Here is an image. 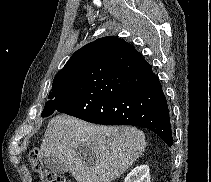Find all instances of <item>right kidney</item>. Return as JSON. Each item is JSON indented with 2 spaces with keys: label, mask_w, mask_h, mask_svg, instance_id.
<instances>
[{
  "label": "right kidney",
  "mask_w": 211,
  "mask_h": 182,
  "mask_svg": "<svg viewBox=\"0 0 211 182\" xmlns=\"http://www.w3.org/2000/svg\"><path fill=\"white\" fill-rule=\"evenodd\" d=\"M124 182H151L149 166L140 165L135 167L125 178Z\"/></svg>",
  "instance_id": "1"
}]
</instances>
